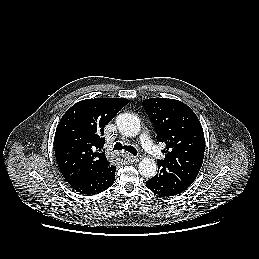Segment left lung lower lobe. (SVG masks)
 Masks as SVG:
<instances>
[{"instance_id": "0a47b994", "label": "left lung lower lobe", "mask_w": 259, "mask_h": 259, "mask_svg": "<svg viewBox=\"0 0 259 259\" xmlns=\"http://www.w3.org/2000/svg\"><path fill=\"white\" fill-rule=\"evenodd\" d=\"M191 182L170 168L158 163V173L146 181V186L161 196H174L185 191Z\"/></svg>"}]
</instances>
